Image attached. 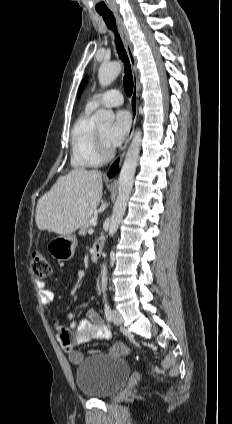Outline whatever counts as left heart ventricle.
<instances>
[{
	"mask_svg": "<svg viewBox=\"0 0 232 424\" xmlns=\"http://www.w3.org/2000/svg\"><path fill=\"white\" fill-rule=\"evenodd\" d=\"M98 129H99V131H100V133H101L104 141L106 142V144L109 145L108 142H107V138H108V135H109L111 126L110 125H105V126H102V127L98 128Z\"/></svg>",
	"mask_w": 232,
	"mask_h": 424,
	"instance_id": "1",
	"label": "left heart ventricle"
}]
</instances>
